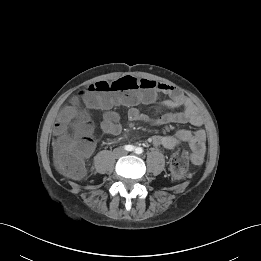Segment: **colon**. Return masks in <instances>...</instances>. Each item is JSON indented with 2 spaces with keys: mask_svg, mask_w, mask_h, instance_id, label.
I'll return each mask as SVG.
<instances>
[{
  "mask_svg": "<svg viewBox=\"0 0 261 261\" xmlns=\"http://www.w3.org/2000/svg\"><path fill=\"white\" fill-rule=\"evenodd\" d=\"M159 84L145 78L125 76L116 81H97L83 88L78 97L85 99L92 106L103 105L111 97L115 104L126 105L150 101L154 98ZM77 117L75 111L66 109L64 120L73 121ZM60 150L55 155L56 167L73 179L83 176L84 155L90 141L82 130V123L64 125L57 130ZM190 154L185 148H179L172 156L170 171L174 178L183 179L188 175Z\"/></svg>",
  "mask_w": 261,
  "mask_h": 261,
  "instance_id": "colon-1",
  "label": "colon"
}]
</instances>
